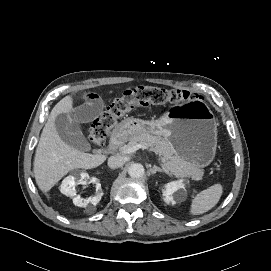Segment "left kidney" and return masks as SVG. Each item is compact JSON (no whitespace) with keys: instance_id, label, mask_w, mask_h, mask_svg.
<instances>
[{"instance_id":"1","label":"left kidney","mask_w":271,"mask_h":271,"mask_svg":"<svg viewBox=\"0 0 271 271\" xmlns=\"http://www.w3.org/2000/svg\"><path fill=\"white\" fill-rule=\"evenodd\" d=\"M180 189H184L182 181H173L168 183L163 190V198L166 203L175 204L176 201L183 199L184 193L179 192Z\"/></svg>"}]
</instances>
